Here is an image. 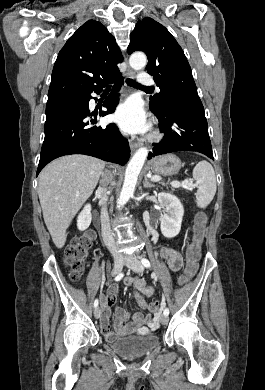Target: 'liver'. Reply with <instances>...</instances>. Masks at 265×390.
Wrapping results in <instances>:
<instances>
[{"label":"liver","instance_id":"1","mask_svg":"<svg viewBox=\"0 0 265 390\" xmlns=\"http://www.w3.org/2000/svg\"><path fill=\"white\" fill-rule=\"evenodd\" d=\"M104 162L86 155H69L48 164L39 175L38 195L43 218L57 248L65 245L72 219L92 195Z\"/></svg>","mask_w":265,"mask_h":390}]
</instances>
